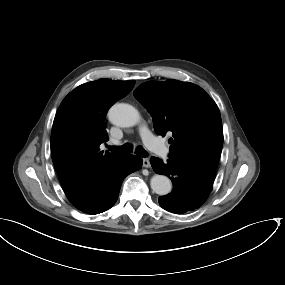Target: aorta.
I'll use <instances>...</instances> for the list:
<instances>
[{"mask_svg": "<svg viewBox=\"0 0 285 285\" xmlns=\"http://www.w3.org/2000/svg\"><path fill=\"white\" fill-rule=\"evenodd\" d=\"M112 124L119 127H132L140 121L138 110L132 105L117 103L113 105L108 113ZM151 189L158 195H167L172 190L170 179L164 175L156 174L150 181Z\"/></svg>", "mask_w": 285, "mask_h": 285, "instance_id": "762f6f07", "label": "aorta"}]
</instances>
